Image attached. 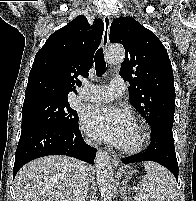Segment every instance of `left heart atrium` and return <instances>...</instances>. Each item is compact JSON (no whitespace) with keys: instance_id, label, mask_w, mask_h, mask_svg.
Listing matches in <instances>:
<instances>
[{"instance_id":"obj_1","label":"left heart atrium","mask_w":196,"mask_h":201,"mask_svg":"<svg viewBox=\"0 0 196 201\" xmlns=\"http://www.w3.org/2000/svg\"><path fill=\"white\" fill-rule=\"evenodd\" d=\"M82 125L92 138L123 146L134 122L127 110L109 105H92L84 110Z\"/></svg>"}]
</instances>
